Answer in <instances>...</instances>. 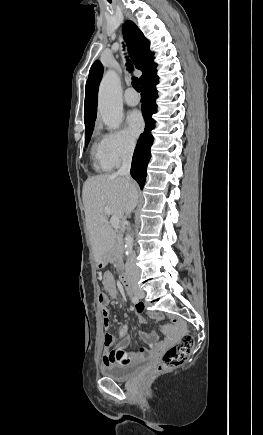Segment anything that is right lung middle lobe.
I'll use <instances>...</instances> for the list:
<instances>
[{"mask_svg":"<svg viewBox=\"0 0 263 435\" xmlns=\"http://www.w3.org/2000/svg\"><path fill=\"white\" fill-rule=\"evenodd\" d=\"M92 131H93V128L85 131V141H86V143L89 142L91 134H92Z\"/></svg>","mask_w":263,"mask_h":435,"instance_id":"dd1d6c3e","label":"right lung middle lobe"}]
</instances>
